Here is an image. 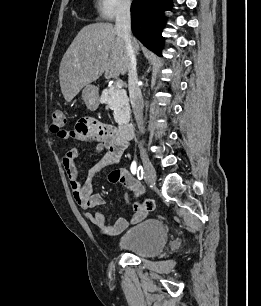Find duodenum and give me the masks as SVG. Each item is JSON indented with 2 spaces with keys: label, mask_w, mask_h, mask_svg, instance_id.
Instances as JSON below:
<instances>
[{
  "label": "duodenum",
  "mask_w": 261,
  "mask_h": 306,
  "mask_svg": "<svg viewBox=\"0 0 261 306\" xmlns=\"http://www.w3.org/2000/svg\"><path fill=\"white\" fill-rule=\"evenodd\" d=\"M118 132L121 137L131 139L134 135V124L131 120L122 122L118 127Z\"/></svg>",
  "instance_id": "duodenum-1"
}]
</instances>
